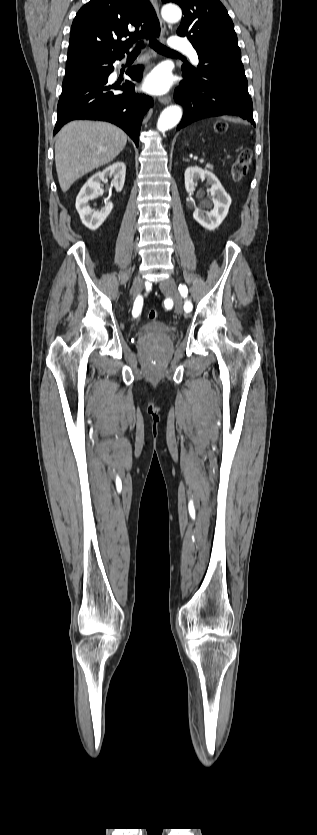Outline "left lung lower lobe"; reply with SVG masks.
<instances>
[{
  "mask_svg": "<svg viewBox=\"0 0 317 835\" xmlns=\"http://www.w3.org/2000/svg\"><path fill=\"white\" fill-rule=\"evenodd\" d=\"M196 51L198 67H182L185 79L174 92L175 101L184 107L177 129L221 115H236L255 126L241 54L209 49Z\"/></svg>",
  "mask_w": 317,
  "mask_h": 835,
  "instance_id": "1",
  "label": "left lung lower lobe"
}]
</instances>
